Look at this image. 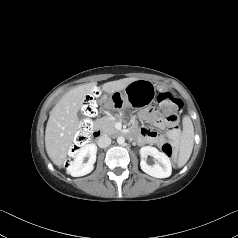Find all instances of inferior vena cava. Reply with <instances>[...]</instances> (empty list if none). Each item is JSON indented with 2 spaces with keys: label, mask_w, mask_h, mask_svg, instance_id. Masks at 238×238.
Listing matches in <instances>:
<instances>
[{
  "label": "inferior vena cava",
  "mask_w": 238,
  "mask_h": 238,
  "mask_svg": "<svg viewBox=\"0 0 238 238\" xmlns=\"http://www.w3.org/2000/svg\"><path fill=\"white\" fill-rule=\"evenodd\" d=\"M97 144L100 148H106L111 144V138L108 135H102L99 137Z\"/></svg>",
  "instance_id": "1"
}]
</instances>
